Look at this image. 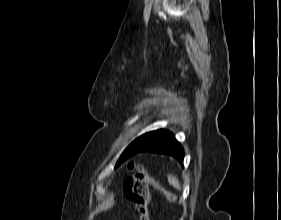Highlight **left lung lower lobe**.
Instances as JSON below:
<instances>
[{"mask_svg":"<svg viewBox=\"0 0 281 220\" xmlns=\"http://www.w3.org/2000/svg\"><path fill=\"white\" fill-rule=\"evenodd\" d=\"M139 152L167 154L176 158L181 164H183V148L175 139L174 135L167 130L161 129L155 131L154 136L143 146L138 148L135 154Z\"/></svg>","mask_w":281,"mask_h":220,"instance_id":"0a47b994","label":"left lung lower lobe"}]
</instances>
